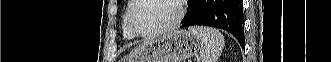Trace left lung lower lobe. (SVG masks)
I'll return each mask as SVG.
<instances>
[{
  "label": "left lung lower lobe",
  "mask_w": 331,
  "mask_h": 62,
  "mask_svg": "<svg viewBox=\"0 0 331 62\" xmlns=\"http://www.w3.org/2000/svg\"><path fill=\"white\" fill-rule=\"evenodd\" d=\"M189 14L182 27L211 26L232 33L244 46V17L242 0H190Z\"/></svg>",
  "instance_id": "left-lung-lower-lobe-1"
}]
</instances>
